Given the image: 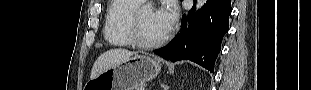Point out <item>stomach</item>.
<instances>
[{
	"label": "stomach",
	"instance_id": "1",
	"mask_svg": "<svg viewBox=\"0 0 311 90\" xmlns=\"http://www.w3.org/2000/svg\"><path fill=\"white\" fill-rule=\"evenodd\" d=\"M161 71L158 58L135 55L87 82L85 90H137Z\"/></svg>",
	"mask_w": 311,
	"mask_h": 90
}]
</instances>
